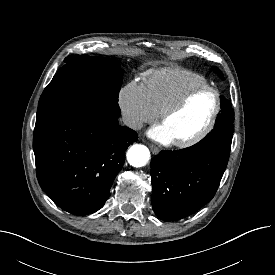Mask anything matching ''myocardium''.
I'll list each match as a JSON object with an SVG mask.
<instances>
[{"label":"myocardium","mask_w":275,"mask_h":275,"mask_svg":"<svg viewBox=\"0 0 275 275\" xmlns=\"http://www.w3.org/2000/svg\"><path fill=\"white\" fill-rule=\"evenodd\" d=\"M202 91H211L215 95V107L214 110L206 123V125L196 134L191 137L173 140L172 143L177 147H189L204 139L213 129L216 120L219 116L221 110V95L220 92L210 85H201L194 87L188 91H186L183 95H181L177 100L167 106L160 112L159 121L161 124L171 115L179 111L187 102L188 100L193 97L195 94L202 92Z\"/></svg>","instance_id":"1"}]
</instances>
